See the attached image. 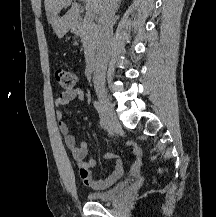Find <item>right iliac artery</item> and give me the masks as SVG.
<instances>
[{
  "mask_svg": "<svg viewBox=\"0 0 216 217\" xmlns=\"http://www.w3.org/2000/svg\"><path fill=\"white\" fill-rule=\"evenodd\" d=\"M93 104H94V107L96 108L97 112L99 113L101 127L106 129L108 123H107L106 115L104 113V109H103L101 103L99 101L95 100L93 102Z\"/></svg>",
  "mask_w": 216,
  "mask_h": 217,
  "instance_id": "obj_1",
  "label": "right iliac artery"
}]
</instances>
